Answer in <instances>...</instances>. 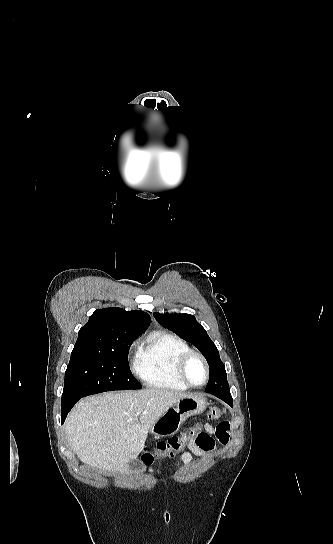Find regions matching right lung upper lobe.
<instances>
[{
  "instance_id": "cb5924a9",
  "label": "right lung upper lobe",
  "mask_w": 333,
  "mask_h": 544,
  "mask_svg": "<svg viewBox=\"0 0 333 544\" xmlns=\"http://www.w3.org/2000/svg\"><path fill=\"white\" fill-rule=\"evenodd\" d=\"M149 324L150 316L143 311H125L117 307L99 309L79 330L74 349L105 350L115 339L137 338Z\"/></svg>"
}]
</instances>
